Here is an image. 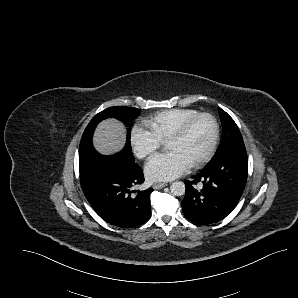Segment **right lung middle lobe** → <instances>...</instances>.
<instances>
[{
    "label": "right lung middle lobe",
    "instance_id": "obj_1",
    "mask_svg": "<svg viewBox=\"0 0 298 298\" xmlns=\"http://www.w3.org/2000/svg\"><path fill=\"white\" fill-rule=\"evenodd\" d=\"M140 114V110L132 107L116 106L109 107L93 117L86 127L80 142L79 147V170L84 171L91 167L95 159L99 156L92 145V135L97 124L106 118H117L122 122L128 123L135 119ZM118 157L125 159L128 162H134V157L130 146V130L127 135V142L124 149L119 152Z\"/></svg>",
    "mask_w": 298,
    "mask_h": 298
}]
</instances>
